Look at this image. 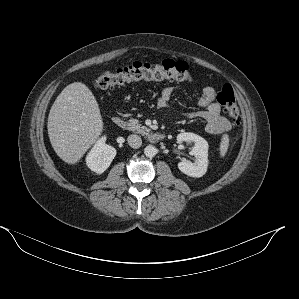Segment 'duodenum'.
Listing matches in <instances>:
<instances>
[{
    "label": "duodenum",
    "instance_id": "410a0bca",
    "mask_svg": "<svg viewBox=\"0 0 299 299\" xmlns=\"http://www.w3.org/2000/svg\"><path fill=\"white\" fill-rule=\"evenodd\" d=\"M111 123L118 128H123L125 127V122L122 118L120 117H113L111 120ZM165 138V135L163 133H151L147 136V139L152 142V143H156L159 142L161 140H163Z\"/></svg>",
    "mask_w": 299,
    "mask_h": 299
}]
</instances>
